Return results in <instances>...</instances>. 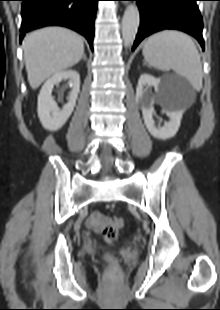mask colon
<instances>
[{
  "mask_svg": "<svg viewBox=\"0 0 220 310\" xmlns=\"http://www.w3.org/2000/svg\"><path fill=\"white\" fill-rule=\"evenodd\" d=\"M124 221L121 218L108 219L103 226L102 235L106 243L113 244L118 239L119 231L123 228ZM109 274L115 275L118 272V262L110 254L106 255Z\"/></svg>",
  "mask_w": 220,
  "mask_h": 310,
  "instance_id": "colon-1",
  "label": "colon"
}]
</instances>
